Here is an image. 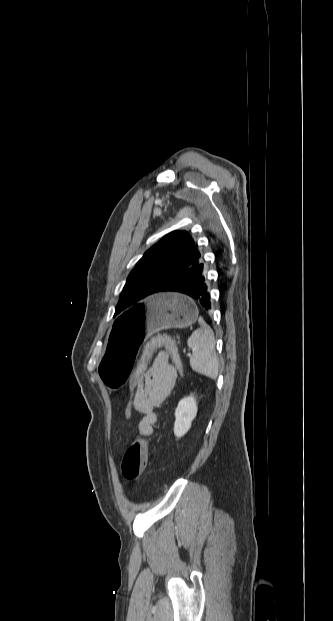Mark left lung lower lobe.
<instances>
[{"label": "left lung lower lobe", "instance_id": "1", "mask_svg": "<svg viewBox=\"0 0 333 621\" xmlns=\"http://www.w3.org/2000/svg\"><path fill=\"white\" fill-rule=\"evenodd\" d=\"M203 261L197 266L191 267L183 273L177 275L165 283L159 292H180L184 293L197 302L202 304L205 309L211 308L210 294L208 292L207 281L204 275Z\"/></svg>", "mask_w": 333, "mask_h": 621}]
</instances>
